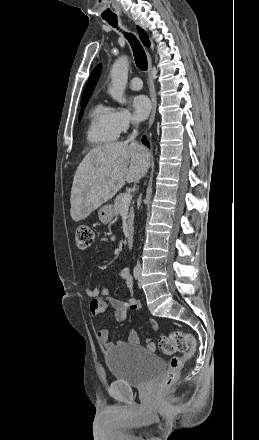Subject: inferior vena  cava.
<instances>
[{
    "label": "inferior vena cava",
    "mask_w": 259,
    "mask_h": 440,
    "mask_svg": "<svg viewBox=\"0 0 259 440\" xmlns=\"http://www.w3.org/2000/svg\"><path fill=\"white\" fill-rule=\"evenodd\" d=\"M133 122L136 126H138V121L133 120ZM137 134H138L137 129H134L132 135L129 137L127 142L135 143V137L137 136Z\"/></svg>",
    "instance_id": "inferior-vena-cava-1"
}]
</instances>
